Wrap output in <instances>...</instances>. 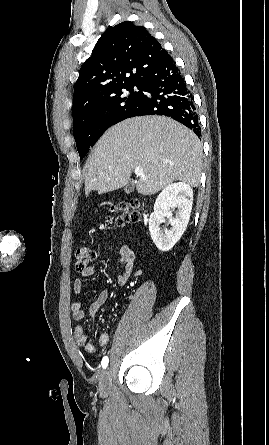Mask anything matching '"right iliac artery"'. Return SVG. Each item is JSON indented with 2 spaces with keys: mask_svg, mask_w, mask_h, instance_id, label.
<instances>
[{
  "mask_svg": "<svg viewBox=\"0 0 269 445\" xmlns=\"http://www.w3.org/2000/svg\"><path fill=\"white\" fill-rule=\"evenodd\" d=\"M109 359L107 356L103 357L102 359V367L105 369L108 365Z\"/></svg>",
  "mask_w": 269,
  "mask_h": 445,
  "instance_id": "right-iliac-artery-1",
  "label": "right iliac artery"
}]
</instances>
